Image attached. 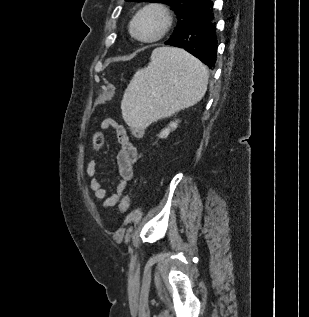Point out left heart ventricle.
<instances>
[{
  "mask_svg": "<svg viewBox=\"0 0 309 317\" xmlns=\"http://www.w3.org/2000/svg\"><path fill=\"white\" fill-rule=\"evenodd\" d=\"M161 26V18L152 12L144 14L138 22V30L142 37H152Z\"/></svg>",
  "mask_w": 309,
  "mask_h": 317,
  "instance_id": "left-heart-ventricle-1",
  "label": "left heart ventricle"
}]
</instances>
